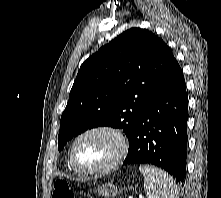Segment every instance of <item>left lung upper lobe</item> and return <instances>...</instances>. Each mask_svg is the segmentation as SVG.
<instances>
[{"mask_svg":"<svg viewBox=\"0 0 221 198\" xmlns=\"http://www.w3.org/2000/svg\"><path fill=\"white\" fill-rule=\"evenodd\" d=\"M173 59L161 38L140 28L129 29L100 48L77 74L61 116L58 150L98 126L121 128L130 139Z\"/></svg>","mask_w":221,"mask_h":198,"instance_id":"obj_1","label":"left lung upper lobe"}]
</instances>
